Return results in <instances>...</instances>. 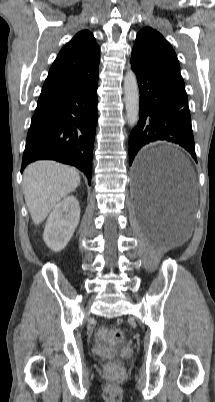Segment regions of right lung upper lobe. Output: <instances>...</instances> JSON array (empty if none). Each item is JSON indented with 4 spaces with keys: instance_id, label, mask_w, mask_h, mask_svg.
Masks as SVG:
<instances>
[{
    "instance_id": "right-lung-upper-lobe-1",
    "label": "right lung upper lobe",
    "mask_w": 215,
    "mask_h": 402,
    "mask_svg": "<svg viewBox=\"0 0 215 402\" xmlns=\"http://www.w3.org/2000/svg\"><path fill=\"white\" fill-rule=\"evenodd\" d=\"M100 48L93 34L78 32L59 52L46 78L38 104L48 102L91 82L98 76Z\"/></svg>"
}]
</instances>
